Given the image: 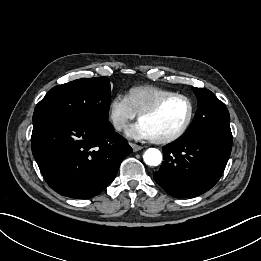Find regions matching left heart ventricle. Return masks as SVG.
<instances>
[{"instance_id":"1","label":"left heart ventricle","mask_w":261,"mask_h":261,"mask_svg":"<svg viewBox=\"0 0 261 261\" xmlns=\"http://www.w3.org/2000/svg\"><path fill=\"white\" fill-rule=\"evenodd\" d=\"M188 104L180 98H171L153 114L144 116L140 122L152 138H162L176 132L185 122Z\"/></svg>"}]
</instances>
